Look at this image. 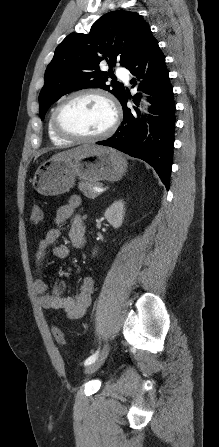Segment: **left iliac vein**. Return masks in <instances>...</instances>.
<instances>
[{"instance_id": "4c4485c4", "label": "left iliac vein", "mask_w": 219, "mask_h": 447, "mask_svg": "<svg viewBox=\"0 0 219 447\" xmlns=\"http://www.w3.org/2000/svg\"><path fill=\"white\" fill-rule=\"evenodd\" d=\"M109 345H105L102 352L100 353V355L96 358V360L94 362H92L91 364L87 365L86 368L84 369V373L85 374H92L95 371H97L102 364L105 362L108 353H109Z\"/></svg>"}]
</instances>
